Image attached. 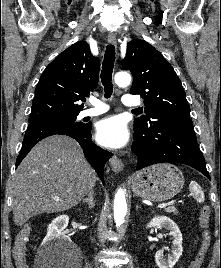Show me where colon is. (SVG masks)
I'll list each match as a JSON object with an SVG mask.
<instances>
[{
	"instance_id": "colon-1",
	"label": "colon",
	"mask_w": 221,
	"mask_h": 268,
	"mask_svg": "<svg viewBox=\"0 0 221 268\" xmlns=\"http://www.w3.org/2000/svg\"><path fill=\"white\" fill-rule=\"evenodd\" d=\"M199 224L202 228V240L198 252L194 259L190 262L188 268H201L212 241L211 232V209L204 206L199 215ZM32 229L29 226L24 227L17 236L14 246V258L17 268H29L26 261L27 244L30 240Z\"/></svg>"
}]
</instances>
